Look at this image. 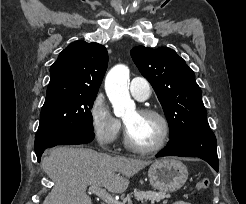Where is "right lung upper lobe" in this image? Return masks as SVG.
I'll return each instance as SVG.
<instances>
[{
	"mask_svg": "<svg viewBox=\"0 0 246 204\" xmlns=\"http://www.w3.org/2000/svg\"><path fill=\"white\" fill-rule=\"evenodd\" d=\"M103 45L75 41L67 46L50 68L45 101L73 94H96L107 69Z\"/></svg>",
	"mask_w": 246,
	"mask_h": 204,
	"instance_id": "cb5924a9",
	"label": "right lung upper lobe"
}]
</instances>
